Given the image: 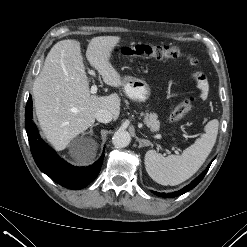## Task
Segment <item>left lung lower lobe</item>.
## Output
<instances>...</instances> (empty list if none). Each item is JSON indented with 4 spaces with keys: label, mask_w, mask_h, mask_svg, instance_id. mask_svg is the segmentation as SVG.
<instances>
[{
    "label": "left lung lower lobe",
    "mask_w": 247,
    "mask_h": 247,
    "mask_svg": "<svg viewBox=\"0 0 247 247\" xmlns=\"http://www.w3.org/2000/svg\"><path fill=\"white\" fill-rule=\"evenodd\" d=\"M211 164H209V166L206 168L205 171L202 172V174L197 177L195 180H193L189 185L185 186L183 189L173 192V193H159V192H154L152 191L155 195L161 196L163 198H173L179 195L184 194L187 191H190L191 189H193L195 186H197L199 184V182L204 178L205 174L207 173L209 167Z\"/></svg>",
    "instance_id": "obj_1"
}]
</instances>
